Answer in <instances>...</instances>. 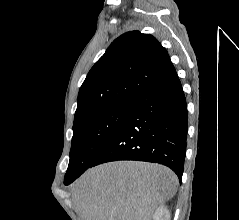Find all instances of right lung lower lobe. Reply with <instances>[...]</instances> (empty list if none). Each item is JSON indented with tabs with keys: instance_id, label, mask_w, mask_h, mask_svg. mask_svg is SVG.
Returning a JSON list of instances; mask_svg holds the SVG:
<instances>
[{
	"instance_id": "obj_1",
	"label": "right lung lower lobe",
	"mask_w": 239,
	"mask_h": 220,
	"mask_svg": "<svg viewBox=\"0 0 239 220\" xmlns=\"http://www.w3.org/2000/svg\"><path fill=\"white\" fill-rule=\"evenodd\" d=\"M187 123L186 99L174 71L130 104L123 122L90 167L115 160L147 161L171 168L181 180Z\"/></svg>"
}]
</instances>
